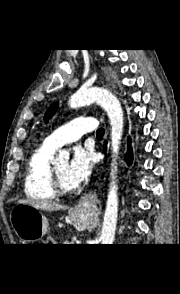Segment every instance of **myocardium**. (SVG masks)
Listing matches in <instances>:
<instances>
[{
  "label": "myocardium",
  "instance_id": "f54148a6",
  "mask_svg": "<svg viewBox=\"0 0 180 294\" xmlns=\"http://www.w3.org/2000/svg\"><path fill=\"white\" fill-rule=\"evenodd\" d=\"M51 188L54 193L59 196H70L75 194L77 191V188L67 189L63 186L55 165L51 166Z\"/></svg>",
  "mask_w": 180,
  "mask_h": 294
}]
</instances>
